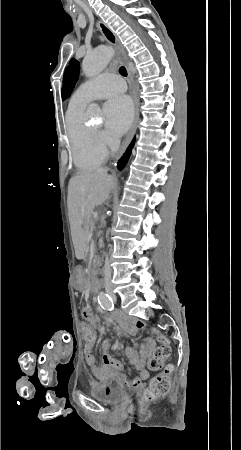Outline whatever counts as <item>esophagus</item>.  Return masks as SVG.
<instances>
[{
    "label": "esophagus",
    "mask_w": 241,
    "mask_h": 450,
    "mask_svg": "<svg viewBox=\"0 0 241 450\" xmlns=\"http://www.w3.org/2000/svg\"><path fill=\"white\" fill-rule=\"evenodd\" d=\"M97 28L100 30V32L102 33V36L105 38V40L108 42V44L112 45L114 47V49L116 51V57H118V59L120 61H122V63H124V65L126 67H128V65H129L128 60H127V58H125L123 56V49L120 45L119 39L116 36V34L114 32H112V30L103 22H97ZM128 73H129L130 80H131L132 97H133V101H134V121L129 130L127 137L125 138V141H124L122 147L120 148L118 154L116 155V158L121 157V155L125 152L126 148L128 147L129 143L131 142L134 134L136 133L137 124H138V120H139L140 100H139V96H138V87L133 82V74L129 70V68H128Z\"/></svg>",
    "instance_id": "1"
}]
</instances>
